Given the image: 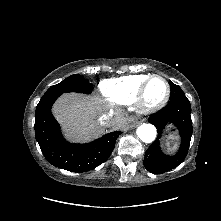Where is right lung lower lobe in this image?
<instances>
[{
    "label": "right lung lower lobe",
    "mask_w": 221,
    "mask_h": 221,
    "mask_svg": "<svg viewBox=\"0 0 221 221\" xmlns=\"http://www.w3.org/2000/svg\"><path fill=\"white\" fill-rule=\"evenodd\" d=\"M60 95L41 98L36 107L35 137L47 161L71 172H86L105 162L114 149L119 131L111 132L86 144L67 142L51 113Z\"/></svg>",
    "instance_id": "obj_1"
}]
</instances>
